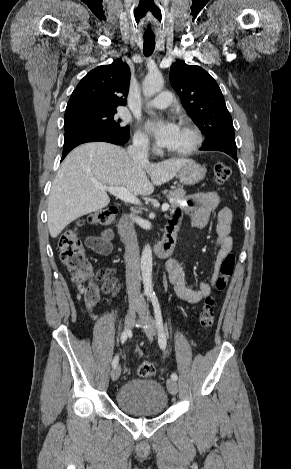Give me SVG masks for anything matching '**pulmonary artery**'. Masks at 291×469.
<instances>
[{
	"instance_id": "pulmonary-artery-1",
	"label": "pulmonary artery",
	"mask_w": 291,
	"mask_h": 469,
	"mask_svg": "<svg viewBox=\"0 0 291 469\" xmlns=\"http://www.w3.org/2000/svg\"><path fill=\"white\" fill-rule=\"evenodd\" d=\"M173 102L172 94L168 91H163L158 94L154 99L148 102V106L157 109H165Z\"/></svg>"
}]
</instances>
